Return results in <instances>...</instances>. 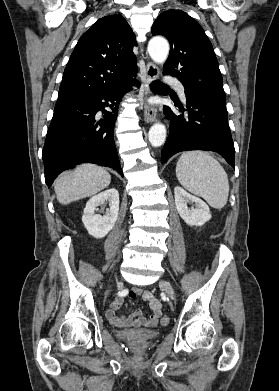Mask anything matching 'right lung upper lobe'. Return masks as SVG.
Listing matches in <instances>:
<instances>
[{
	"label": "right lung upper lobe",
	"mask_w": 279,
	"mask_h": 391,
	"mask_svg": "<svg viewBox=\"0 0 279 391\" xmlns=\"http://www.w3.org/2000/svg\"><path fill=\"white\" fill-rule=\"evenodd\" d=\"M132 29L121 15L105 16L79 39L64 70L56 105L115 90L137 71Z\"/></svg>",
	"instance_id": "1"
}]
</instances>
